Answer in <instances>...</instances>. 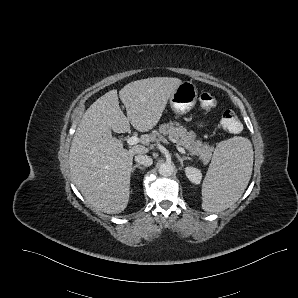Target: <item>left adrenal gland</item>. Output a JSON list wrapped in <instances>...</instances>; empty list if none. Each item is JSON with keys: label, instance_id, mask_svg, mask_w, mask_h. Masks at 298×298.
I'll list each match as a JSON object with an SVG mask.
<instances>
[{"label": "left adrenal gland", "instance_id": "left-adrenal-gland-1", "mask_svg": "<svg viewBox=\"0 0 298 298\" xmlns=\"http://www.w3.org/2000/svg\"><path fill=\"white\" fill-rule=\"evenodd\" d=\"M176 157L179 161V163L183 166V161L184 160H190L191 157L190 156H181L179 153H176Z\"/></svg>", "mask_w": 298, "mask_h": 298}]
</instances>
